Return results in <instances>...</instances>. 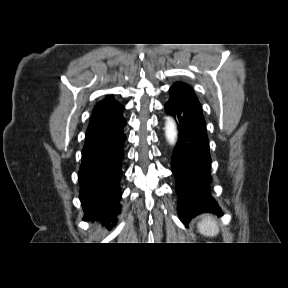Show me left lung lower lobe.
I'll return each instance as SVG.
<instances>
[{"label": "left lung lower lobe", "instance_id": "1", "mask_svg": "<svg viewBox=\"0 0 288 288\" xmlns=\"http://www.w3.org/2000/svg\"><path fill=\"white\" fill-rule=\"evenodd\" d=\"M165 110L178 122L179 140L171 170L176 179L178 214L188 227L190 220L201 213L222 214L209 189L212 178L206 125L201 105L191 91H170Z\"/></svg>", "mask_w": 288, "mask_h": 288}]
</instances>
